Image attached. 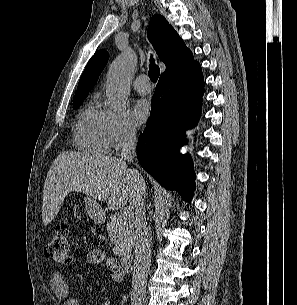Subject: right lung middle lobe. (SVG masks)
<instances>
[{"label":"right lung middle lobe","mask_w":297,"mask_h":305,"mask_svg":"<svg viewBox=\"0 0 297 305\" xmlns=\"http://www.w3.org/2000/svg\"><path fill=\"white\" fill-rule=\"evenodd\" d=\"M84 99H85V98H81V99H78V100H74V101H73L74 108L79 107V105L82 103V101H83Z\"/></svg>","instance_id":"right-lung-middle-lobe-1"}]
</instances>
